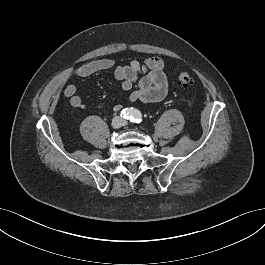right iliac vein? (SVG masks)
<instances>
[{
	"label": "right iliac vein",
	"instance_id": "obj_1",
	"mask_svg": "<svg viewBox=\"0 0 265 265\" xmlns=\"http://www.w3.org/2000/svg\"><path fill=\"white\" fill-rule=\"evenodd\" d=\"M122 124H123V121H122V119L120 117L113 118V120L111 122V126L114 129L120 128L122 126Z\"/></svg>",
	"mask_w": 265,
	"mask_h": 265
}]
</instances>
